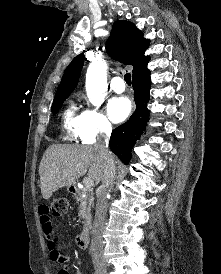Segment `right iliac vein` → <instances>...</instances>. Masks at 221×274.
I'll return each mask as SVG.
<instances>
[{
	"label": "right iliac vein",
	"mask_w": 221,
	"mask_h": 274,
	"mask_svg": "<svg viewBox=\"0 0 221 274\" xmlns=\"http://www.w3.org/2000/svg\"><path fill=\"white\" fill-rule=\"evenodd\" d=\"M97 274H107V270L105 266L98 265L96 267Z\"/></svg>",
	"instance_id": "right-iliac-vein-1"
}]
</instances>
